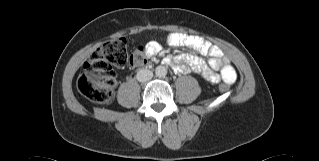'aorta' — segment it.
Returning a JSON list of instances; mask_svg holds the SVG:
<instances>
[{"mask_svg": "<svg viewBox=\"0 0 319 161\" xmlns=\"http://www.w3.org/2000/svg\"><path fill=\"white\" fill-rule=\"evenodd\" d=\"M155 74L157 77H165L167 74V69L164 66H157L155 69Z\"/></svg>", "mask_w": 319, "mask_h": 161, "instance_id": "1", "label": "aorta"}]
</instances>
